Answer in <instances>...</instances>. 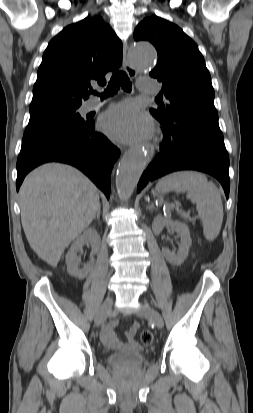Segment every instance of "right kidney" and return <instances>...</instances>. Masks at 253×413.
I'll use <instances>...</instances> for the list:
<instances>
[{"label":"right kidney","mask_w":253,"mask_h":413,"mask_svg":"<svg viewBox=\"0 0 253 413\" xmlns=\"http://www.w3.org/2000/svg\"><path fill=\"white\" fill-rule=\"evenodd\" d=\"M86 243H90L92 248L91 260L85 264L83 268H79L80 258L77 254L82 250L83 245ZM100 243V236L95 228H88L81 236L76 238L66 254L67 270L71 276L78 279H84L87 277L93 267V254L99 249Z\"/></svg>","instance_id":"ca27d5eb"}]
</instances>
